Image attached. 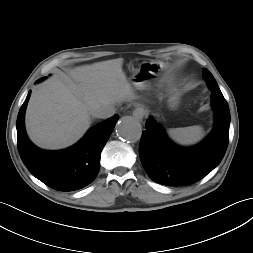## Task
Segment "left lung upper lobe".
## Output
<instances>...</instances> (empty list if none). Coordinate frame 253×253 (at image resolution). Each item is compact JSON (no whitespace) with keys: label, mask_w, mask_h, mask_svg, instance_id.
<instances>
[{"label":"left lung upper lobe","mask_w":253,"mask_h":253,"mask_svg":"<svg viewBox=\"0 0 253 253\" xmlns=\"http://www.w3.org/2000/svg\"><path fill=\"white\" fill-rule=\"evenodd\" d=\"M204 76H205V79H206V81L208 83L209 88L212 91H220V89H219V87L217 85L216 80L214 79V77L212 76V74L207 69H204Z\"/></svg>","instance_id":"obj_1"}]
</instances>
